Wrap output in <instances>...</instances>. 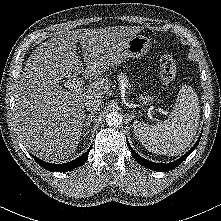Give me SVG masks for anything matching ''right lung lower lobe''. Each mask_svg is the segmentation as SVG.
I'll use <instances>...</instances> for the list:
<instances>
[{"instance_id": "right-lung-lower-lobe-1", "label": "right lung lower lobe", "mask_w": 221, "mask_h": 221, "mask_svg": "<svg viewBox=\"0 0 221 221\" xmlns=\"http://www.w3.org/2000/svg\"><path fill=\"white\" fill-rule=\"evenodd\" d=\"M89 150L85 152L83 155H81L80 157H78L77 159L68 163H63V164L48 163V162L38 159L37 157H34V159L39 165H41L43 168H45L48 171L67 172L84 164L88 158Z\"/></svg>"}]
</instances>
